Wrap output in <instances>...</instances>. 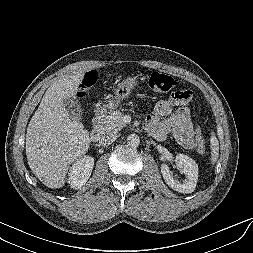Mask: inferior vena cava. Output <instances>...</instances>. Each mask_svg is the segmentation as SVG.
<instances>
[{
	"label": "inferior vena cava",
	"mask_w": 253,
	"mask_h": 253,
	"mask_svg": "<svg viewBox=\"0 0 253 253\" xmlns=\"http://www.w3.org/2000/svg\"><path fill=\"white\" fill-rule=\"evenodd\" d=\"M117 137H118L117 134L104 135L100 138L99 143L102 145H109L113 143Z\"/></svg>",
	"instance_id": "obj_1"
}]
</instances>
